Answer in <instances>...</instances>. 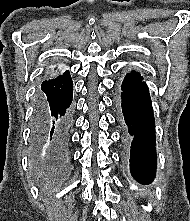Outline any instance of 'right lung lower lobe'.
<instances>
[{"instance_id":"right-lung-lower-lobe-1","label":"right lung lower lobe","mask_w":190,"mask_h":221,"mask_svg":"<svg viewBox=\"0 0 190 221\" xmlns=\"http://www.w3.org/2000/svg\"><path fill=\"white\" fill-rule=\"evenodd\" d=\"M72 96L73 82L69 72L48 78L37 92L32 145L35 152H45L46 169H61L68 163Z\"/></svg>"}]
</instances>
